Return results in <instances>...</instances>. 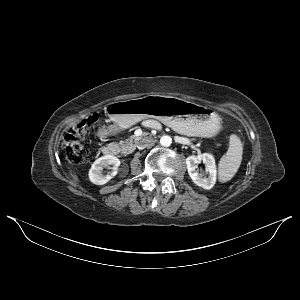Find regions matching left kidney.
Masks as SVG:
<instances>
[{"label": "left kidney", "instance_id": "obj_1", "mask_svg": "<svg viewBox=\"0 0 300 300\" xmlns=\"http://www.w3.org/2000/svg\"><path fill=\"white\" fill-rule=\"evenodd\" d=\"M201 161L205 164L208 176H203L196 171L197 165L201 163ZM186 165L189 176L197 186L209 190L215 185L217 170L213 155L203 153L197 156H189L186 158Z\"/></svg>", "mask_w": 300, "mask_h": 300}]
</instances>
